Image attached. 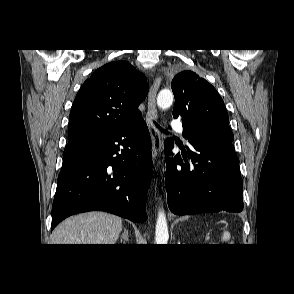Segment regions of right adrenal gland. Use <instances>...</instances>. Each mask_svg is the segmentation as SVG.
<instances>
[{"instance_id":"2a0ac1e0","label":"right adrenal gland","mask_w":294,"mask_h":294,"mask_svg":"<svg viewBox=\"0 0 294 294\" xmlns=\"http://www.w3.org/2000/svg\"><path fill=\"white\" fill-rule=\"evenodd\" d=\"M124 240L125 241H128L129 240V232L126 228H124V232L120 238V241L122 242Z\"/></svg>"}]
</instances>
